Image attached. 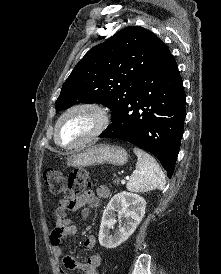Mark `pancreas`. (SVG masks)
Returning a JSON list of instances; mask_svg holds the SVG:
<instances>
[{"mask_svg":"<svg viewBox=\"0 0 221 274\" xmlns=\"http://www.w3.org/2000/svg\"><path fill=\"white\" fill-rule=\"evenodd\" d=\"M114 183L118 185L119 180H118V179H115V180H114Z\"/></svg>","mask_w":221,"mask_h":274,"instance_id":"obj_1","label":"pancreas"}]
</instances>
